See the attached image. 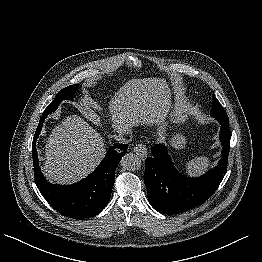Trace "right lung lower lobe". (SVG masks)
<instances>
[{
  "instance_id": "right-lung-lower-lobe-1",
  "label": "right lung lower lobe",
  "mask_w": 262,
  "mask_h": 262,
  "mask_svg": "<svg viewBox=\"0 0 262 262\" xmlns=\"http://www.w3.org/2000/svg\"><path fill=\"white\" fill-rule=\"evenodd\" d=\"M46 116L42 114L32 143L35 183L46 201L62 215L74 219L96 216L109 202L115 170L128 145L112 146L97 169L80 182L73 185L51 184L41 173L36 150V140Z\"/></svg>"
}]
</instances>
